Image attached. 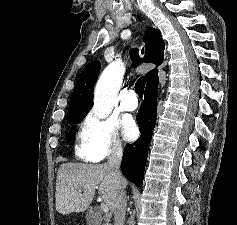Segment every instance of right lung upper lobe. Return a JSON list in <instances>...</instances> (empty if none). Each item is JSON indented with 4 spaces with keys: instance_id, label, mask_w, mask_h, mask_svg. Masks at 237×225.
Listing matches in <instances>:
<instances>
[{
    "instance_id": "cb5924a9",
    "label": "right lung upper lobe",
    "mask_w": 237,
    "mask_h": 225,
    "mask_svg": "<svg viewBox=\"0 0 237 225\" xmlns=\"http://www.w3.org/2000/svg\"><path fill=\"white\" fill-rule=\"evenodd\" d=\"M144 43L146 52L143 61L154 63L157 66L160 65L163 61L165 43L159 30L148 28L144 35ZM131 58L136 63L140 61L136 51H131ZM100 66L99 61H92L82 70L70 98L68 113L72 111L89 112L93 98V86L97 80ZM146 77L147 86L159 83L158 70L156 68L149 71Z\"/></svg>"
}]
</instances>
